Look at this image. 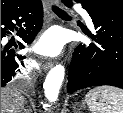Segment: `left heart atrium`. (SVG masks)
Instances as JSON below:
<instances>
[{
    "label": "left heart atrium",
    "instance_id": "obj_1",
    "mask_svg": "<svg viewBox=\"0 0 123 113\" xmlns=\"http://www.w3.org/2000/svg\"><path fill=\"white\" fill-rule=\"evenodd\" d=\"M63 41L55 31L44 34L35 45V50L44 56L57 55L62 49Z\"/></svg>",
    "mask_w": 123,
    "mask_h": 113
}]
</instances>
